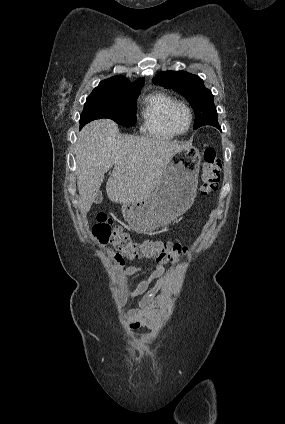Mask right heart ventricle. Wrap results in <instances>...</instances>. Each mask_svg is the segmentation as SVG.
Returning <instances> with one entry per match:
<instances>
[{
	"label": "right heart ventricle",
	"mask_w": 285,
	"mask_h": 424,
	"mask_svg": "<svg viewBox=\"0 0 285 424\" xmlns=\"http://www.w3.org/2000/svg\"><path fill=\"white\" fill-rule=\"evenodd\" d=\"M176 99L165 92H155L144 99L141 112L142 130L160 139H172L176 136L167 124V112Z\"/></svg>",
	"instance_id": "e07e8e85"
}]
</instances>
